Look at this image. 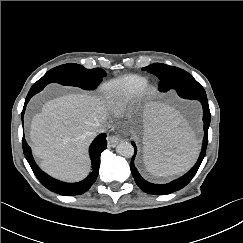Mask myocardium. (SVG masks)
<instances>
[{
  "instance_id": "f54148a6",
  "label": "myocardium",
  "mask_w": 243,
  "mask_h": 243,
  "mask_svg": "<svg viewBox=\"0 0 243 243\" xmlns=\"http://www.w3.org/2000/svg\"><path fill=\"white\" fill-rule=\"evenodd\" d=\"M156 94H157L156 89L151 85H147L140 95L142 99L150 100L153 99L156 96Z\"/></svg>"
}]
</instances>
